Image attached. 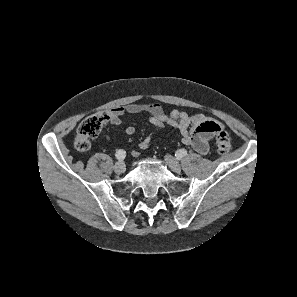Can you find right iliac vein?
Returning a JSON list of instances; mask_svg holds the SVG:
<instances>
[{"label":"right iliac vein","mask_w":297,"mask_h":297,"mask_svg":"<svg viewBox=\"0 0 297 297\" xmlns=\"http://www.w3.org/2000/svg\"><path fill=\"white\" fill-rule=\"evenodd\" d=\"M113 169H114L115 173H117V174L123 173V171L125 170V165H124L123 161H119V162L115 163Z\"/></svg>","instance_id":"right-iliac-vein-1"}]
</instances>
